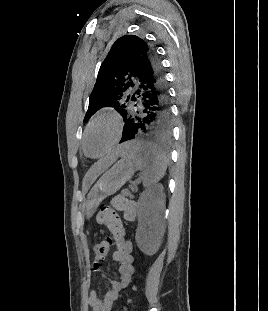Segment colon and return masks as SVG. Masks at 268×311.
Masks as SVG:
<instances>
[{"instance_id":"obj_1","label":"colon","mask_w":268,"mask_h":311,"mask_svg":"<svg viewBox=\"0 0 268 311\" xmlns=\"http://www.w3.org/2000/svg\"><path fill=\"white\" fill-rule=\"evenodd\" d=\"M110 245H111V239L107 238L105 240L100 241L99 243L96 244L95 248H94V254H93V267L95 269H97L99 267V264L101 262H103L106 257L107 254L109 252L110 249ZM133 289H136V287L134 286ZM130 300L127 301V303H129ZM127 307L125 306L122 311H126Z\"/></svg>"}]
</instances>
